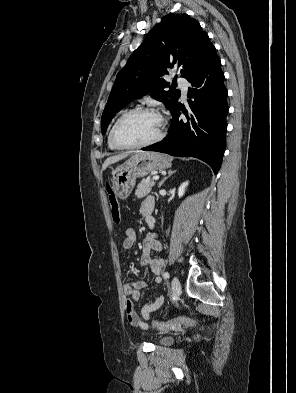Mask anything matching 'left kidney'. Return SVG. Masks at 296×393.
<instances>
[{
	"label": "left kidney",
	"mask_w": 296,
	"mask_h": 393,
	"mask_svg": "<svg viewBox=\"0 0 296 393\" xmlns=\"http://www.w3.org/2000/svg\"><path fill=\"white\" fill-rule=\"evenodd\" d=\"M188 186V181L182 183L178 189V196L182 197L185 194L186 187Z\"/></svg>",
	"instance_id": "left-kidney-1"
}]
</instances>
